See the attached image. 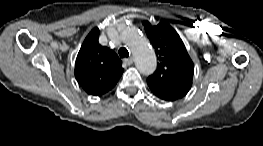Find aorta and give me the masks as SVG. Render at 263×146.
Listing matches in <instances>:
<instances>
[{"instance_id":"1","label":"aorta","mask_w":263,"mask_h":146,"mask_svg":"<svg viewBox=\"0 0 263 146\" xmlns=\"http://www.w3.org/2000/svg\"><path fill=\"white\" fill-rule=\"evenodd\" d=\"M121 36L124 43L133 52L138 70L146 75L153 73L157 66L156 56L142 33L134 27H128Z\"/></svg>"}]
</instances>
